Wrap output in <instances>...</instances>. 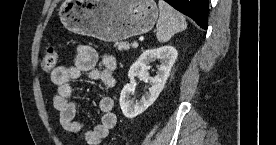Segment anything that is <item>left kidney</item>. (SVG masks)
Masks as SVG:
<instances>
[{"instance_id": "5707ae66", "label": "left kidney", "mask_w": 276, "mask_h": 145, "mask_svg": "<svg viewBox=\"0 0 276 145\" xmlns=\"http://www.w3.org/2000/svg\"><path fill=\"white\" fill-rule=\"evenodd\" d=\"M177 56V50L168 45L145 50L133 63L128 72L130 83L123 87L120 95V107L125 117L135 118L156 101L165 86ZM155 60L160 61V66L156 76L150 77L148 73L149 64ZM136 76L145 82L151 81L152 86L138 102L134 103L130 95L134 91L133 81Z\"/></svg>"}]
</instances>
